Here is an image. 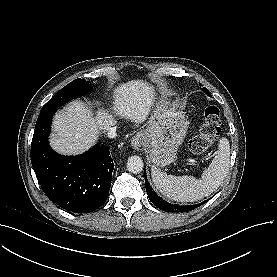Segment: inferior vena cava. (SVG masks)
Here are the masks:
<instances>
[{
    "instance_id": "1",
    "label": "inferior vena cava",
    "mask_w": 277,
    "mask_h": 277,
    "mask_svg": "<svg viewBox=\"0 0 277 277\" xmlns=\"http://www.w3.org/2000/svg\"><path fill=\"white\" fill-rule=\"evenodd\" d=\"M116 131H117V127H111V128L108 130V133H107L108 137H109V138H115V137L117 136Z\"/></svg>"
}]
</instances>
